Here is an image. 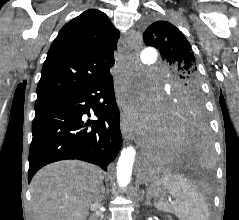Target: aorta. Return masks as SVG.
I'll return each instance as SVG.
<instances>
[{
    "label": "aorta",
    "mask_w": 239,
    "mask_h": 220,
    "mask_svg": "<svg viewBox=\"0 0 239 220\" xmlns=\"http://www.w3.org/2000/svg\"><path fill=\"white\" fill-rule=\"evenodd\" d=\"M142 65H155L157 48H143L140 51ZM141 65H139L140 67ZM136 150L133 146L124 148L117 163V182L121 188L127 187L131 181Z\"/></svg>",
    "instance_id": "aorta-1"
}]
</instances>
